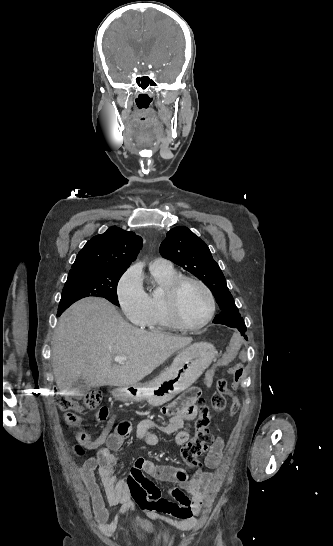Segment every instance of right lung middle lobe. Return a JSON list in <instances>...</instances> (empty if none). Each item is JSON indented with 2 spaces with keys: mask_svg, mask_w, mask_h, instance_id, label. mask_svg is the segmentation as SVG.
<instances>
[{
  "mask_svg": "<svg viewBox=\"0 0 333 546\" xmlns=\"http://www.w3.org/2000/svg\"><path fill=\"white\" fill-rule=\"evenodd\" d=\"M125 271L93 267L83 273L69 275L58 310H65L75 301L88 296L103 297L119 306L117 284Z\"/></svg>",
  "mask_w": 333,
  "mask_h": 546,
  "instance_id": "dd1d6c3e",
  "label": "right lung middle lobe"
}]
</instances>
